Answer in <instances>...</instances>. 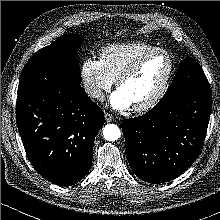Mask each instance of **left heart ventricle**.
Segmentation results:
<instances>
[{"instance_id":"b2bd125f","label":"left heart ventricle","mask_w":220,"mask_h":220,"mask_svg":"<svg viewBox=\"0 0 220 220\" xmlns=\"http://www.w3.org/2000/svg\"><path fill=\"white\" fill-rule=\"evenodd\" d=\"M169 59L163 54L148 58L140 70L125 80L119 89L130 99L132 106L139 105L150 99L162 85L168 70Z\"/></svg>"}]
</instances>
